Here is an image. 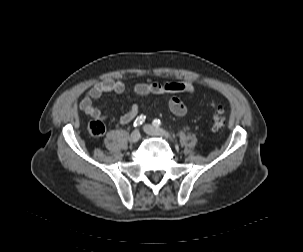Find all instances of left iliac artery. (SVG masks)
Returning <instances> with one entry per match:
<instances>
[{
	"label": "left iliac artery",
	"instance_id": "44dca946",
	"mask_svg": "<svg viewBox=\"0 0 303 252\" xmlns=\"http://www.w3.org/2000/svg\"><path fill=\"white\" fill-rule=\"evenodd\" d=\"M152 124L155 126V127H159L161 125V121L159 119H154Z\"/></svg>",
	"mask_w": 303,
	"mask_h": 252
}]
</instances>
